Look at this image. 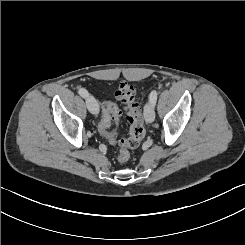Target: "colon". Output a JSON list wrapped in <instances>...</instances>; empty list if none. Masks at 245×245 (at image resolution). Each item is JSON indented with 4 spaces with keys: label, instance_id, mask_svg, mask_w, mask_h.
<instances>
[{
    "label": "colon",
    "instance_id": "colon-1",
    "mask_svg": "<svg viewBox=\"0 0 245 245\" xmlns=\"http://www.w3.org/2000/svg\"><path fill=\"white\" fill-rule=\"evenodd\" d=\"M116 98L124 105L129 132L127 138L120 137L117 129L110 130L112 123L117 126L120 122L121 112L112 102L102 105V116L99 131L112 144L119 147L117 160L125 163L130 157L129 150L137 148L145 137L144 119L141 107L136 101V88L132 83L123 81L115 91Z\"/></svg>",
    "mask_w": 245,
    "mask_h": 245
}]
</instances>
